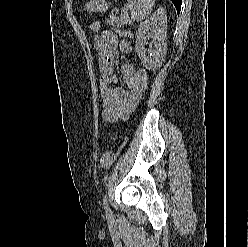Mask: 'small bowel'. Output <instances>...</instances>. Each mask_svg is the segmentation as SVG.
Listing matches in <instances>:
<instances>
[{
  "mask_svg": "<svg viewBox=\"0 0 248 247\" xmlns=\"http://www.w3.org/2000/svg\"><path fill=\"white\" fill-rule=\"evenodd\" d=\"M94 47L98 53L103 117L109 122L127 119L139 100L133 94L136 71L130 64L121 66V76L128 88V90H125L116 86L117 77L114 66L116 64L118 50L129 53L131 51V45L127 40H121L115 32L104 31L96 37ZM112 161L113 154L105 153L101 159V165L108 168L112 164Z\"/></svg>",
  "mask_w": 248,
  "mask_h": 247,
  "instance_id": "c3829d8e",
  "label": "small bowel"
}]
</instances>
